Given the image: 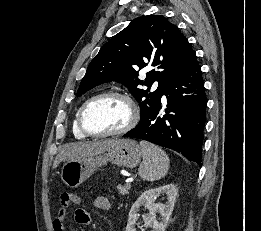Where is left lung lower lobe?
Returning <instances> with one entry per match:
<instances>
[{"label":"left lung lower lobe","instance_id":"0a47b994","mask_svg":"<svg viewBox=\"0 0 261 231\" xmlns=\"http://www.w3.org/2000/svg\"><path fill=\"white\" fill-rule=\"evenodd\" d=\"M163 95L168 103L166 114L159 113L160 99L123 137L172 149L201 165L207 97L197 58L184 72L168 81Z\"/></svg>","mask_w":261,"mask_h":231}]
</instances>
